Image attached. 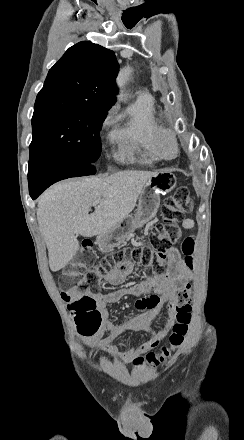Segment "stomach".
Here are the masks:
<instances>
[{
  "label": "stomach",
  "instance_id": "1",
  "mask_svg": "<svg viewBox=\"0 0 244 440\" xmlns=\"http://www.w3.org/2000/svg\"><path fill=\"white\" fill-rule=\"evenodd\" d=\"M176 184V176L172 172H157L155 176L149 178L140 194L135 214L128 216L110 230L99 234L96 240L99 248L110 250V248L120 246L129 234H133L137 228H142L146 222L155 218L160 206V196L172 192Z\"/></svg>",
  "mask_w": 244,
  "mask_h": 440
}]
</instances>
